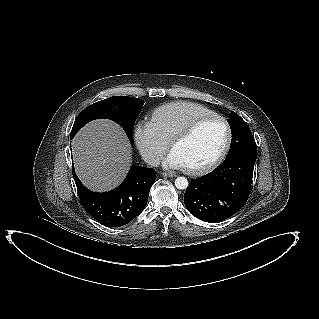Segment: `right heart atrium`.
Instances as JSON below:
<instances>
[{
    "label": "right heart atrium",
    "instance_id": "d8ad5b80",
    "mask_svg": "<svg viewBox=\"0 0 319 319\" xmlns=\"http://www.w3.org/2000/svg\"><path fill=\"white\" fill-rule=\"evenodd\" d=\"M133 138L142 158L156 165L168 149V142L156 131L149 121H139L133 130Z\"/></svg>",
    "mask_w": 319,
    "mask_h": 319
}]
</instances>
